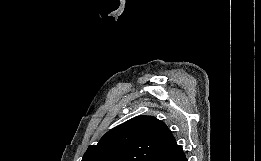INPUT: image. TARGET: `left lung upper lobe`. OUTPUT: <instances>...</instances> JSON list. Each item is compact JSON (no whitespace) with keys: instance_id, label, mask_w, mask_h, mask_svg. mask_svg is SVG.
<instances>
[{"instance_id":"1","label":"left lung upper lobe","mask_w":261,"mask_h":161,"mask_svg":"<svg viewBox=\"0 0 261 161\" xmlns=\"http://www.w3.org/2000/svg\"><path fill=\"white\" fill-rule=\"evenodd\" d=\"M174 141L163 122L137 116L108 131L97 145H90L82 161H151Z\"/></svg>"}]
</instances>
